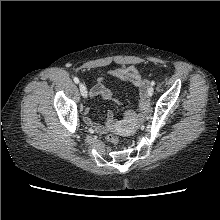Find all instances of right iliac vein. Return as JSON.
Returning a JSON list of instances; mask_svg holds the SVG:
<instances>
[{"label": "right iliac vein", "mask_w": 220, "mask_h": 220, "mask_svg": "<svg viewBox=\"0 0 220 220\" xmlns=\"http://www.w3.org/2000/svg\"><path fill=\"white\" fill-rule=\"evenodd\" d=\"M79 89H80V92H81V95L83 96V98H87L88 92H87L86 86L83 83H80Z\"/></svg>", "instance_id": "obj_1"}]
</instances>
